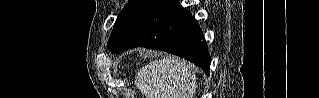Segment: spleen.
I'll use <instances>...</instances> for the list:
<instances>
[{
  "mask_svg": "<svg viewBox=\"0 0 319 98\" xmlns=\"http://www.w3.org/2000/svg\"><path fill=\"white\" fill-rule=\"evenodd\" d=\"M135 85L146 98H193L196 75L192 66L169 56L142 67L136 74Z\"/></svg>",
  "mask_w": 319,
  "mask_h": 98,
  "instance_id": "3e777b00",
  "label": "spleen"
}]
</instances>
